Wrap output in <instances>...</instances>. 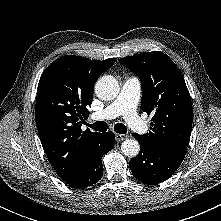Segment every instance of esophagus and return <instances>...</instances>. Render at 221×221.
<instances>
[{
  "instance_id": "34e87169",
  "label": "esophagus",
  "mask_w": 221,
  "mask_h": 221,
  "mask_svg": "<svg viewBox=\"0 0 221 221\" xmlns=\"http://www.w3.org/2000/svg\"><path fill=\"white\" fill-rule=\"evenodd\" d=\"M127 138V135L125 134H115V139L117 142L123 141Z\"/></svg>"
}]
</instances>
